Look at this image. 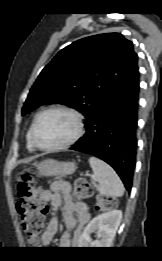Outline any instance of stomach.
<instances>
[{"instance_id": "stomach-1", "label": "stomach", "mask_w": 162, "mask_h": 261, "mask_svg": "<svg viewBox=\"0 0 162 261\" xmlns=\"http://www.w3.org/2000/svg\"><path fill=\"white\" fill-rule=\"evenodd\" d=\"M39 176H63L73 174L76 165L73 162L47 159L36 165Z\"/></svg>"}]
</instances>
